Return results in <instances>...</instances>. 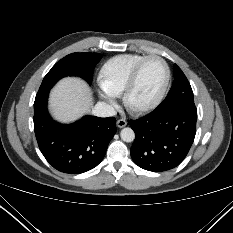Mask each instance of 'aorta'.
<instances>
[{"instance_id": "762f6f07", "label": "aorta", "mask_w": 233, "mask_h": 233, "mask_svg": "<svg viewBox=\"0 0 233 233\" xmlns=\"http://www.w3.org/2000/svg\"><path fill=\"white\" fill-rule=\"evenodd\" d=\"M120 136L124 142H132L135 139V133L129 127L123 128L120 132Z\"/></svg>"}]
</instances>
